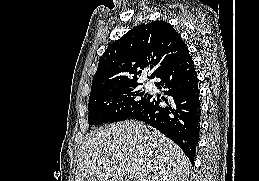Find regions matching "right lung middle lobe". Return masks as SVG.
Returning <instances> with one entry per match:
<instances>
[{"mask_svg": "<svg viewBox=\"0 0 259 181\" xmlns=\"http://www.w3.org/2000/svg\"><path fill=\"white\" fill-rule=\"evenodd\" d=\"M138 85L108 90L89 98V125H102L131 118L149 101L151 95Z\"/></svg>", "mask_w": 259, "mask_h": 181, "instance_id": "dd1d6c3e", "label": "right lung middle lobe"}]
</instances>
